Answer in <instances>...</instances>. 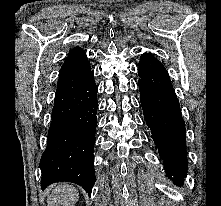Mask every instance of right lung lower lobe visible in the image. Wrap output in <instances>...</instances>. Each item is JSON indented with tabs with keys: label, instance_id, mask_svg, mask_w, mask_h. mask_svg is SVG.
<instances>
[{
	"label": "right lung lower lobe",
	"instance_id": "right-lung-lower-lobe-1",
	"mask_svg": "<svg viewBox=\"0 0 221 206\" xmlns=\"http://www.w3.org/2000/svg\"><path fill=\"white\" fill-rule=\"evenodd\" d=\"M93 75L87 62L58 79L48 144L40 161L42 189L68 181L91 194L98 107Z\"/></svg>",
	"mask_w": 221,
	"mask_h": 206
}]
</instances>
